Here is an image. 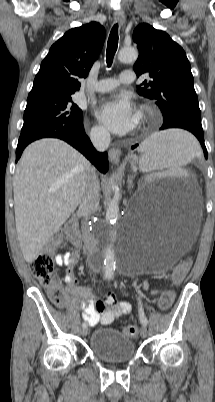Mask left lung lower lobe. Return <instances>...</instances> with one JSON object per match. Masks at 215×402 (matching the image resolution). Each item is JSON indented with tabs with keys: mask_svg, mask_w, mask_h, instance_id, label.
Listing matches in <instances>:
<instances>
[{
	"mask_svg": "<svg viewBox=\"0 0 215 402\" xmlns=\"http://www.w3.org/2000/svg\"><path fill=\"white\" fill-rule=\"evenodd\" d=\"M168 128H182V129L188 130L191 133H193L197 137V139L199 140V142L203 148L205 158L208 157L207 150H206V147L204 144V135H203V129H202L201 124H197L192 121L185 120V119L174 118V119L164 121L162 126L160 127V130H165ZM136 146H138V144L132 146V148H135Z\"/></svg>",
	"mask_w": 215,
	"mask_h": 402,
	"instance_id": "left-lung-lower-lobe-1",
	"label": "left lung lower lobe"
}]
</instances>
